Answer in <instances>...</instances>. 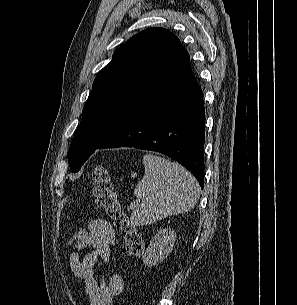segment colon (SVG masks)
Masks as SVG:
<instances>
[{"instance_id": "1", "label": "colon", "mask_w": 297, "mask_h": 305, "mask_svg": "<svg viewBox=\"0 0 297 305\" xmlns=\"http://www.w3.org/2000/svg\"><path fill=\"white\" fill-rule=\"evenodd\" d=\"M93 194L96 204L121 229L122 252L126 256H139L144 247L142 234L129 223L106 165L98 164L93 172Z\"/></svg>"}]
</instances>
